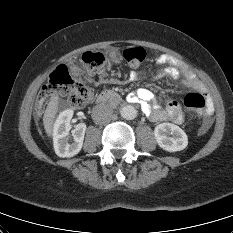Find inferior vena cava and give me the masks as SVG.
Returning a JSON list of instances; mask_svg holds the SVG:
<instances>
[{"label": "inferior vena cava", "mask_w": 233, "mask_h": 233, "mask_svg": "<svg viewBox=\"0 0 233 233\" xmlns=\"http://www.w3.org/2000/svg\"><path fill=\"white\" fill-rule=\"evenodd\" d=\"M113 117V109L106 103H100L93 108L92 119L96 124H108Z\"/></svg>", "instance_id": "1"}]
</instances>
